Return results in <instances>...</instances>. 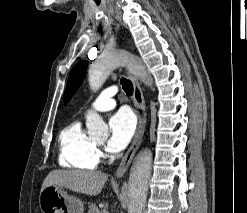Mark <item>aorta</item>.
<instances>
[{
  "label": "aorta",
  "instance_id": "obj_1",
  "mask_svg": "<svg viewBox=\"0 0 247 213\" xmlns=\"http://www.w3.org/2000/svg\"><path fill=\"white\" fill-rule=\"evenodd\" d=\"M120 66H127L129 71L138 77L145 85L152 86V78L143 63L131 53L124 50L104 52L94 62L88 72V81L93 91L98 90L111 72ZM86 127L89 136H97L107 132V125L96 112L89 111L86 117ZM152 153L142 150L130 171L128 183V213H142L146 203L148 180L151 174Z\"/></svg>",
  "mask_w": 247,
  "mask_h": 213
}]
</instances>
